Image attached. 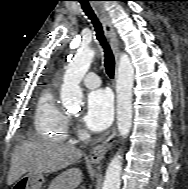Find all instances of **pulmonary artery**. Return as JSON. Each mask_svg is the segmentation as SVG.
<instances>
[{
	"mask_svg": "<svg viewBox=\"0 0 188 189\" xmlns=\"http://www.w3.org/2000/svg\"><path fill=\"white\" fill-rule=\"evenodd\" d=\"M82 82L88 88H95L100 85L101 80L97 74L91 72L84 76Z\"/></svg>",
	"mask_w": 188,
	"mask_h": 189,
	"instance_id": "e3ab8cb5",
	"label": "pulmonary artery"
}]
</instances>
